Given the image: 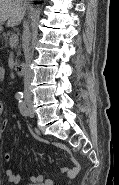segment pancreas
Returning <instances> with one entry per match:
<instances>
[{
    "label": "pancreas",
    "mask_w": 119,
    "mask_h": 185,
    "mask_svg": "<svg viewBox=\"0 0 119 185\" xmlns=\"http://www.w3.org/2000/svg\"><path fill=\"white\" fill-rule=\"evenodd\" d=\"M14 34L12 32H7L3 34V41L6 44L8 41V38L10 39V37H12Z\"/></svg>",
    "instance_id": "obj_1"
}]
</instances>
